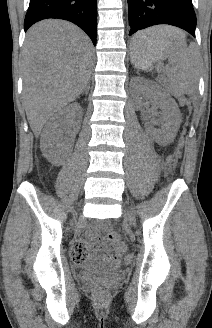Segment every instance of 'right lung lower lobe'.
I'll list each match as a JSON object with an SVG mask.
<instances>
[{
	"instance_id": "right-lung-lower-lobe-1",
	"label": "right lung lower lobe",
	"mask_w": 212,
	"mask_h": 328,
	"mask_svg": "<svg viewBox=\"0 0 212 328\" xmlns=\"http://www.w3.org/2000/svg\"><path fill=\"white\" fill-rule=\"evenodd\" d=\"M46 18L71 21L82 28L96 45V0H30L25 16V31L34 23Z\"/></svg>"
}]
</instances>
